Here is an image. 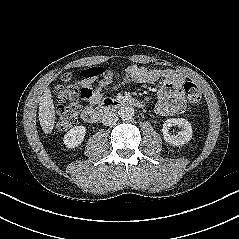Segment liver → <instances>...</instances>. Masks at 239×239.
<instances>
[{
	"label": "liver",
	"mask_w": 239,
	"mask_h": 239,
	"mask_svg": "<svg viewBox=\"0 0 239 239\" xmlns=\"http://www.w3.org/2000/svg\"><path fill=\"white\" fill-rule=\"evenodd\" d=\"M55 107L52 100L51 91L49 88L44 90L39 103V121L42 130L46 134H50L55 123Z\"/></svg>",
	"instance_id": "1"
}]
</instances>
